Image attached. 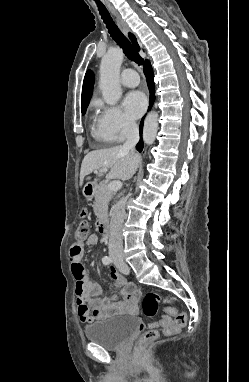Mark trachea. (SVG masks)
<instances>
[{
  "mask_svg": "<svg viewBox=\"0 0 249 382\" xmlns=\"http://www.w3.org/2000/svg\"><path fill=\"white\" fill-rule=\"evenodd\" d=\"M97 6L110 36L123 49L129 60L137 63L138 65H141L143 63V58L136 52L130 41L118 29L105 6L101 3H97Z\"/></svg>",
  "mask_w": 249,
  "mask_h": 382,
  "instance_id": "3493384b",
  "label": "trachea"
}]
</instances>
